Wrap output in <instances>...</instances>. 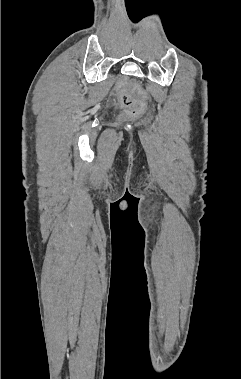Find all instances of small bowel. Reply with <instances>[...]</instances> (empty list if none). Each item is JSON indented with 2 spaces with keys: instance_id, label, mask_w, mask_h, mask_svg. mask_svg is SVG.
Here are the masks:
<instances>
[{
  "instance_id": "obj_1",
  "label": "small bowel",
  "mask_w": 241,
  "mask_h": 379,
  "mask_svg": "<svg viewBox=\"0 0 241 379\" xmlns=\"http://www.w3.org/2000/svg\"><path fill=\"white\" fill-rule=\"evenodd\" d=\"M111 103H114V99H111V101H110Z\"/></svg>"
}]
</instances>
